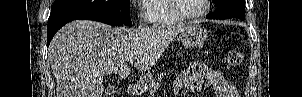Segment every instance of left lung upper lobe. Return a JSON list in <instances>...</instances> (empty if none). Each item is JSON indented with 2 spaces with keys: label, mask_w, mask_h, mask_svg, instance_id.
<instances>
[{
  "label": "left lung upper lobe",
  "mask_w": 302,
  "mask_h": 97,
  "mask_svg": "<svg viewBox=\"0 0 302 97\" xmlns=\"http://www.w3.org/2000/svg\"><path fill=\"white\" fill-rule=\"evenodd\" d=\"M217 9L212 12L216 19L245 18V0H213Z\"/></svg>",
  "instance_id": "5c2ea615"
}]
</instances>
